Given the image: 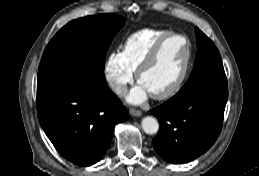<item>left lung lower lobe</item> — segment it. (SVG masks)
<instances>
[{"instance_id":"left-lung-lower-lobe-1","label":"left lung lower lobe","mask_w":259,"mask_h":176,"mask_svg":"<svg viewBox=\"0 0 259 176\" xmlns=\"http://www.w3.org/2000/svg\"><path fill=\"white\" fill-rule=\"evenodd\" d=\"M228 98L227 84L205 82L152 109L160 123L156 152L174 164L192 161L216 141Z\"/></svg>"}]
</instances>
